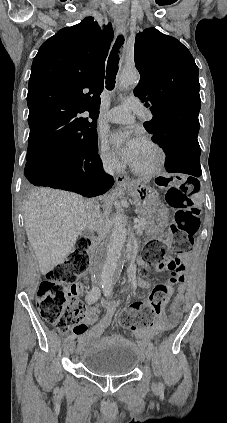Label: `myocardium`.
I'll return each instance as SVG.
<instances>
[{
	"label": "myocardium",
	"mask_w": 227,
	"mask_h": 423,
	"mask_svg": "<svg viewBox=\"0 0 227 423\" xmlns=\"http://www.w3.org/2000/svg\"><path fill=\"white\" fill-rule=\"evenodd\" d=\"M144 143L153 147L157 151V154H158L157 162L154 166L145 170L136 168L135 166L132 165L131 170L135 174L144 176V177H150V176H155L157 174H160L162 171H164L168 161V154L166 149L164 148L162 144H160L158 141L152 138L146 139Z\"/></svg>",
	"instance_id": "myocardium-1"
}]
</instances>
